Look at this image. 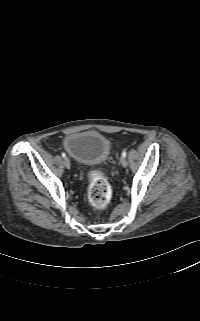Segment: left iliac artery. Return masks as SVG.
Wrapping results in <instances>:
<instances>
[{"instance_id": "1", "label": "left iliac artery", "mask_w": 200, "mask_h": 321, "mask_svg": "<svg viewBox=\"0 0 200 321\" xmlns=\"http://www.w3.org/2000/svg\"><path fill=\"white\" fill-rule=\"evenodd\" d=\"M126 155H127L126 151H123V152H122V156H123V157H126Z\"/></svg>"}]
</instances>
